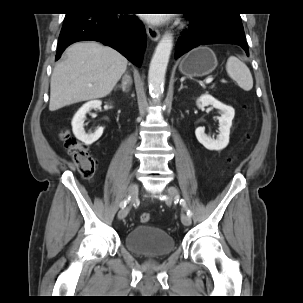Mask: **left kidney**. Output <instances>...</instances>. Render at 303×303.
Wrapping results in <instances>:
<instances>
[{
    "instance_id": "left-kidney-1",
    "label": "left kidney",
    "mask_w": 303,
    "mask_h": 303,
    "mask_svg": "<svg viewBox=\"0 0 303 303\" xmlns=\"http://www.w3.org/2000/svg\"><path fill=\"white\" fill-rule=\"evenodd\" d=\"M213 106L219 109L222 114L219 120V135L217 139H212L205 134L203 127H198L195 130L197 140L208 150L220 151L223 150L229 143L230 128L235 115L233 107L225 105L209 94L201 95L197 100V106L203 108L205 106Z\"/></svg>"
}]
</instances>
